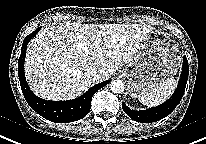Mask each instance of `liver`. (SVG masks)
Here are the masks:
<instances>
[{"label": "liver", "instance_id": "liver-1", "mask_svg": "<svg viewBox=\"0 0 206 144\" xmlns=\"http://www.w3.org/2000/svg\"><path fill=\"white\" fill-rule=\"evenodd\" d=\"M140 24L66 22L43 28L28 46L25 74L32 91L47 100L73 99L95 83L87 69H101V80L136 57L146 34Z\"/></svg>", "mask_w": 206, "mask_h": 144}]
</instances>
